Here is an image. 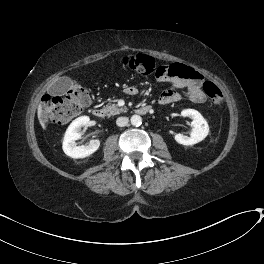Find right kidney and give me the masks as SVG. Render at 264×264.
Masks as SVG:
<instances>
[{
    "mask_svg": "<svg viewBox=\"0 0 264 264\" xmlns=\"http://www.w3.org/2000/svg\"><path fill=\"white\" fill-rule=\"evenodd\" d=\"M90 118L81 116L75 119L67 128L63 140V151L71 158H85L93 154L100 146L98 139L91 140L87 146H76L75 141L82 136L81 127H88Z\"/></svg>",
    "mask_w": 264,
    "mask_h": 264,
    "instance_id": "obj_1",
    "label": "right kidney"
}]
</instances>
